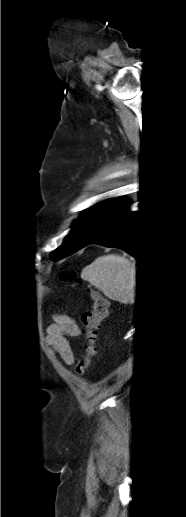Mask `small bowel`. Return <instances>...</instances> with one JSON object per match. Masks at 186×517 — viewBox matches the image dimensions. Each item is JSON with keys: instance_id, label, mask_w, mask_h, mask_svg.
<instances>
[{"instance_id": "obj_1", "label": "small bowel", "mask_w": 186, "mask_h": 517, "mask_svg": "<svg viewBox=\"0 0 186 517\" xmlns=\"http://www.w3.org/2000/svg\"><path fill=\"white\" fill-rule=\"evenodd\" d=\"M80 335V327L74 319L67 315H56L54 323L48 327L47 342L52 347L53 353L60 355L67 365H72L75 357L67 336L79 337Z\"/></svg>"}]
</instances>
